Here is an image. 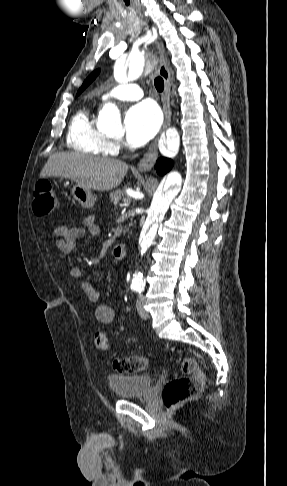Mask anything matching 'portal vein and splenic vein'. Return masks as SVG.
Instances as JSON below:
<instances>
[{
	"label": "portal vein and splenic vein",
	"mask_w": 287,
	"mask_h": 486,
	"mask_svg": "<svg viewBox=\"0 0 287 486\" xmlns=\"http://www.w3.org/2000/svg\"><path fill=\"white\" fill-rule=\"evenodd\" d=\"M123 203H124V204H128V203H130V199H129V198H125V199H123Z\"/></svg>",
	"instance_id": "18ae733b"
}]
</instances>
